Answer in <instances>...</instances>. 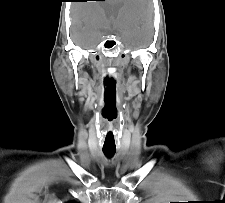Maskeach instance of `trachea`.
Returning a JSON list of instances; mask_svg holds the SVG:
<instances>
[{"mask_svg":"<svg viewBox=\"0 0 225 203\" xmlns=\"http://www.w3.org/2000/svg\"><path fill=\"white\" fill-rule=\"evenodd\" d=\"M103 153H104L107 157L111 158V157L114 156L115 150H103Z\"/></svg>","mask_w":225,"mask_h":203,"instance_id":"trachea-1","label":"trachea"}]
</instances>
